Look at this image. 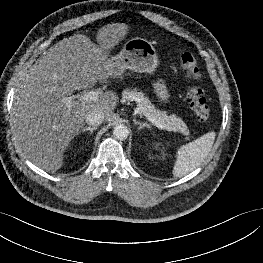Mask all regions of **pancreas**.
Listing matches in <instances>:
<instances>
[{"mask_svg": "<svg viewBox=\"0 0 263 263\" xmlns=\"http://www.w3.org/2000/svg\"><path fill=\"white\" fill-rule=\"evenodd\" d=\"M122 98L126 101H136L140 115H149L159 120L163 125V129L167 131L178 132L185 135V139L189 140V129L184 121L176 115H168L166 111L156 108L151 101L140 91L135 89H126L122 93Z\"/></svg>", "mask_w": 263, "mask_h": 263, "instance_id": "1", "label": "pancreas"}]
</instances>
